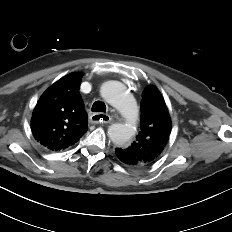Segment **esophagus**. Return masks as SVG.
I'll return each instance as SVG.
<instances>
[{"mask_svg": "<svg viewBox=\"0 0 232 232\" xmlns=\"http://www.w3.org/2000/svg\"><path fill=\"white\" fill-rule=\"evenodd\" d=\"M91 122L94 124H107L111 121V117L104 113H95L91 117Z\"/></svg>", "mask_w": 232, "mask_h": 232, "instance_id": "1", "label": "esophagus"}]
</instances>
